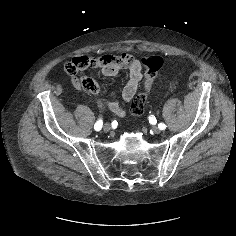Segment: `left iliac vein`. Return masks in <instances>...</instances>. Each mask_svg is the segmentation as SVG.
<instances>
[{
    "label": "left iliac vein",
    "mask_w": 236,
    "mask_h": 236,
    "mask_svg": "<svg viewBox=\"0 0 236 236\" xmlns=\"http://www.w3.org/2000/svg\"><path fill=\"white\" fill-rule=\"evenodd\" d=\"M152 132L154 134H159L161 132V130L158 127L154 126V127H152Z\"/></svg>",
    "instance_id": "1"
}]
</instances>
